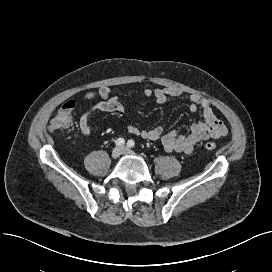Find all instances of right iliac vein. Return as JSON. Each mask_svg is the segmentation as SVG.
Masks as SVG:
<instances>
[{
    "label": "right iliac vein",
    "mask_w": 272,
    "mask_h": 272,
    "mask_svg": "<svg viewBox=\"0 0 272 272\" xmlns=\"http://www.w3.org/2000/svg\"><path fill=\"white\" fill-rule=\"evenodd\" d=\"M121 153H122V149L119 148V147H115L112 150L111 156H112L113 159H117V158H119V156L121 155Z\"/></svg>",
    "instance_id": "63e3f726"
}]
</instances>
